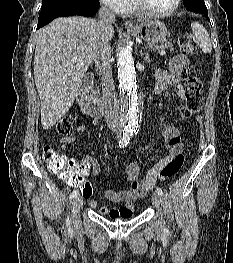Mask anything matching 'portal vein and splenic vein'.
Masks as SVG:
<instances>
[{
  "label": "portal vein and splenic vein",
  "mask_w": 233,
  "mask_h": 263,
  "mask_svg": "<svg viewBox=\"0 0 233 263\" xmlns=\"http://www.w3.org/2000/svg\"><path fill=\"white\" fill-rule=\"evenodd\" d=\"M160 55H165V51L164 50H161L160 51ZM79 66H82L83 65V62H80L79 64H78Z\"/></svg>",
  "instance_id": "obj_1"
}]
</instances>
